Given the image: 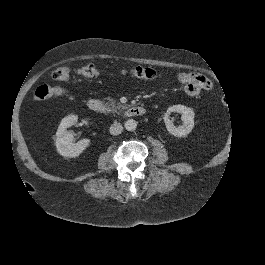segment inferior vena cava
I'll list each match as a JSON object with an SVG mask.
<instances>
[{
  "label": "inferior vena cava",
  "mask_w": 265,
  "mask_h": 265,
  "mask_svg": "<svg viewBox=\"0 0 265 265\" xmlns=\"http://www.w3.org/2000/svg\"><path fill=\"white\" fill-rule=\"evenodd\" d=\"M123 130V126L120 125L119 123L115 122L113 123L110 128H109V132L112 134V135H119L121 134Z\"/></svg>",
  "instance_id": "inferior-vena-cava-1"
}]
</instances>
